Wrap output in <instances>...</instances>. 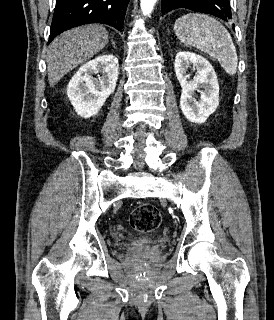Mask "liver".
<instances>
[{
	"label": "liver",
	"instance_id": "1",
	"mask_svg": "<svg viewBox=\"0 0 274 320\" xmlns=\"http://www.w3.org/2000/svg\"><path fill=\"white\" fill-rule=\"evenodd\" d=\"M109 42L108 32L99 24L73 28L57 36L47 50V72L50 88L77 66L91 60Z\"/></svg>",
	"mask_w": 274,
	"mask_h": 320
}]
</instances>
